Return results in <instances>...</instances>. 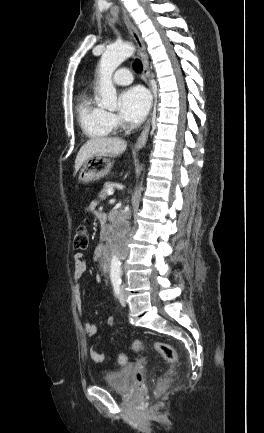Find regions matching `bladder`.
I'll return each mask as SVG.
<instances>
[{
	"label": "bladder",
	"mask_w": 264,
	"mask_h": 433,
	"mask_svg": "<svg viewBox=\"0 0 264 433\" xmlns=\"http://www.w3.org/2000/svg\"><path fill=\"white\" fill-rule=\"evenodd\" d=\"M129 377L130 371L128 369L112 371L106 373L103 383L106 388L125 394L130 390Z\"/></svg>",
	"instance_id": "obj_1"
}]
</instances>
